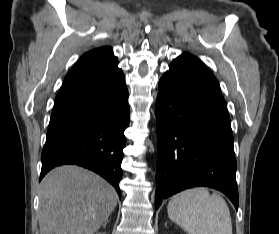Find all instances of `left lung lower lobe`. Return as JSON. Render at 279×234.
Segmentation results:
<instances>
[{"instance_id": "0a47b994", "label": "left lung lower lobe", "mask_w": 279, "mask_h": 234, "mask_svg": "<svg viewBox=\"0 0 279 234\" xmlns=\"http://www.w3.org/2000/svg\"><path fill=\"white\" fill-rule=\"evenodd\" d=\"M158 86L155 207L184 189L207 186L226 194L237 210L233 135L218 81L183 53Z\"/></svg>"}]
</instances>
